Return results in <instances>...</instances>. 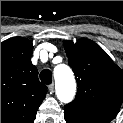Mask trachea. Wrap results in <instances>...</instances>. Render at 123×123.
Returning a JSON list of instances; mask_svg holds the SVG:
<instances>
[{"mask_svg": "<svg viewBox=\"0 0 123 123\" xmlns=\"http://www.w3.org/2000/svg\"><path fill=\"white\" fill-rule=\"evenodd\" d=\"M41 82L44 84H51L52 82V72L49 69H44L40 73Z\"/></svg>", "mask_w": 123, "mask_h": 123, "instance_id": "3493384b", "label": "trachea"}]
</instances>
